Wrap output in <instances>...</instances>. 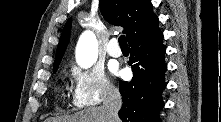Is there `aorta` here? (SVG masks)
I'll return each mask as SVG.
<instances>
[{
    "instance_id": "762f6f07",
    "label": "aorta",
    "mask_w": 221,
    "mask_h": 122,
    "mask_svg": "<svg viewBox=\"0 0 221 122\" xmlns=\"http://www.w3.org/2000/svg\"><path fill=\"white\" fill-rule=\"evenodd\" d=\"M98 57V42L93 32L85 31L76 47V62L81 68L91 67Z\"/></svg>"
}]
</instances>
